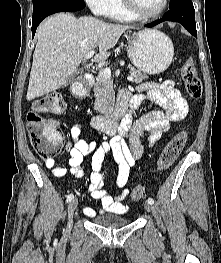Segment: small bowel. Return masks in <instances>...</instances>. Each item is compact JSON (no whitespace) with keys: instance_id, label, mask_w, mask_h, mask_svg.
<instances>
[{"instance_id":"1","label":"small bowel","mask_w":221,"mask_h":263,"mask_svg":"<svg viewBox=\"0 0 221 263\" xmlns=\"http://www.w3.org/2000/svg\"><path fill=\"white\" fill-rule=\"evenodd\" d=\"M124 92L129 93L127 90ZM138 92L132 100L138 104L146 99L150 100L163 108V111H151L143 115L132 126L130 124L129 127L121 129L119 135L102 144L80 138L83 132L95 134L94 127L80 123L75 124L70 129V138L65 146V151L69 155V170L55 166L51 159L45 161L46 166L51 169L55 177H64L70 173L76 178H82L84 176L83 159L85 156L91 155L92 172L90 182L84 191L93 199L100 201L101 206L98 210L100 214L105 212L123 214L128 210V205L123 201L129 194L127 183L131 168L143 152L141 137L147 135L150 145L153 146L159 141L171 122L180 121L188 114V103L171 80L162 83H142L138 87ZM108 154L113 157L118 167L115 184L122 189V192L117 198L111 196L104 186L102 165ZM84 213L88 217L95 215L92 208H86Z\"/></svg>"}]
</instances>
